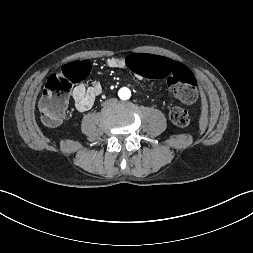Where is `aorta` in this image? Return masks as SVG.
<instances>
[{
  "label": "aorta",
  "mask_w": 253,
  "mask_h": 253,
  "mask_svg": "<svg viewBox=\"0 0 253 253\" xmlns=\"http://www.w3.org/2000/svg\"><path fill=\"white\" fill-rule=\"evenodd\" d=\"M131 93H130V90L127 89V88H122L120 91H119V96L121 99L123 100H126V99H129Z\"/></svg>",
  "instance_id": "762f6f07"
}]
</instances>
